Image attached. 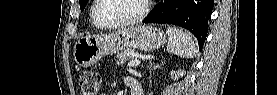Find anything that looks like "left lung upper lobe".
<instances>
[{
	"label": "left lung upper lobe",
	"instance_id": "5c2ea615",
	"mask_svg": "<svg viewBox=\"0 0 277 95\" xmlns=\"http://www.w3.org/2000/svg\"><path fill=\"white\" fill-rule=\"evenodd\" d=\"M87 2H88V0H80V9H81V11L84 10V7H85Z\"/></svg>",
	"mask_w": 277,
	"mask_h": 95
}]
</instances>
